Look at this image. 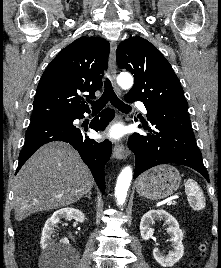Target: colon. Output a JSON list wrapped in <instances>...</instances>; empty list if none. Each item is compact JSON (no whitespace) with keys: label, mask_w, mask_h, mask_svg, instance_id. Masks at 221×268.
Wrapping results in <instances>:
<instances>
[{"label":"colon","mask_w":221,"mask_h":268,"mask_svg":"<svg viewBox=\"0 0 221 268\" xmlns=\"http://www.w3.org/2000/svg\"><path fill=\"white\" fill-rule=\"evenodd\" d=\"M208 242L205 241L200 245V257H204L207 251Z\"/></svg>","instance_id":"colon-1"}]
</instances>
